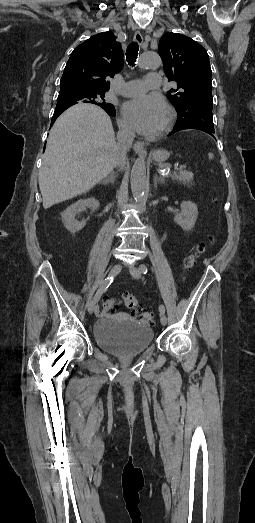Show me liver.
I'll return each instance as SVG.
<instances>
[{"label":"liver","instance_id":"6515ba94","mask_svg":"<svg viewBox=\"0 0 255 523\" xmlns=\"http://www.w3.org/2000/svg\"><path fill=\"white\" fill-rule=\"evenodd\" d=\"M112 122L99 106L76 104L49 132L39 170L43 208L89 192L117 166Z\"/></svg>","mask_w":255,"mask_h":523}]
</instances>
